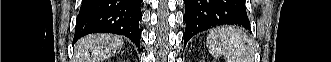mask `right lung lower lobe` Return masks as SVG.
Returning a JSON list of instances; mask_svg holds the SVG:
<instances>
[{"label":"right lung lower lobe","instance_id":"1","mask_svg":"<svg viewBox=\"0 0 331 62\" xmlns=\"http://www.w3.org/2000/svg\"><path fill=\"white\" fill-rule=\"evenodd\" d=\"M141 3L142 0H82L73 43L87 34L106 32L128 37L140 51Z\"/></svg>","mask_w":331,"mask_h":62}]
</instances>
